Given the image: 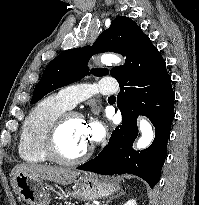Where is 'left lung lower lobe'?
<instances>
[{
  "mask_svg": "<svg viewBox=\"0 0 199 205\" xmlns=\"http://www.w3.org/2000/svg\"><path fill=\"white\" fill-rule=\"evenodd\" d=\"M121 88L117 100L122 123L97 157L77 167L102 175L133 174L154 187L167 154L174 119L175 95L166 63L143 31L139 33L115 78ZM145 115L155 127V139L145 150L132 149L138 136L137 116Z\"/></svg>",
  "mask_w": 199,
  "mask_h": 205,
  "instance_id": "0a47b994",
  "label": "left lung lower lobe"
}]
</instances>
